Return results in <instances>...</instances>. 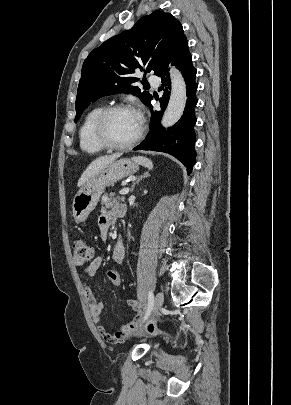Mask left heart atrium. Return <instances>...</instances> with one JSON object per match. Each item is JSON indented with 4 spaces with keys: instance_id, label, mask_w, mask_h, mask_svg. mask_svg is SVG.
<instances>
[{
    "instance_id": "obj_1",
    "label": "left heart atrium",
    "mask_w": 291,
    "mask_h": 405,
    "mask_svg": "<svg viewBox=\"0 0 291 405\" xmlns=\"http://www.w3.org/2000/svg\"><path fill=\"white\" fill-rule=\"evenodd\" d=\"M138 113V115H139V118H140V121H141V115H140V113L139 112H137Z\"/></svg>"
}]
</instances>
